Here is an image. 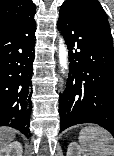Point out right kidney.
<instances>
[{
  "instance_id": "obj_1",
  "label": "right kidney",
  "mask_w": 114,
  "mask_h": 156,
  "mask_svg": "<svg viewBox=\"0 0 114 156\" xmlns=\"http://www.w3.org/2000/svg\"><path fill=\"white\" fill-rule=\"evenodd\" d=\"M23 147L20 142L14 141L0 150V156H22Z\"/></svg>"
}]
</instances>
